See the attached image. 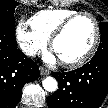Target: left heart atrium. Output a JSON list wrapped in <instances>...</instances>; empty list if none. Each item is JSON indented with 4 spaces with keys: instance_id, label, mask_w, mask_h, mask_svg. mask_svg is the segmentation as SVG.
<instances>
[{
    "instance_id": "39dd6f15",
    "label": "left heart atrium",
    "mask_w": 108,
    "mask_h": 108,
    "mask_svg": "<svg viewBox=\"0 0 108 108\" xmlns=\"http://www.w3.org/2000/svg\"><path fill=\"white\" fill-rule=\"evenodd\" d=\"M45 60L49 63H55L57 60H59V58L55 52H50L45 56Z\"/></svg>"
}]
</instances>
